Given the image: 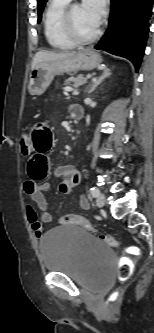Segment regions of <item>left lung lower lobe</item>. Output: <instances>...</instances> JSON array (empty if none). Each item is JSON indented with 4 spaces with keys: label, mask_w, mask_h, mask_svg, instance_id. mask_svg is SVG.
Returning <instances> with one entry per match:
<instances>
[{
    "label": "left lung lower lobe",
    "mask_w": 154,
    "mask_h": 333,
    "mask_svg": "<svg viewBox=\"0 0 154 333\" xmlns=\"http://www.w3.org/2000/svg\"><path fill=\"white\" fill-rule=\"evenodd\" d=\"M153 0H111L109 26L95 46L133 62L138 70L149 32Z\"/></svg>",
    "instance_id": "left-lung-lower-lobe-1"
}]
</instances>
